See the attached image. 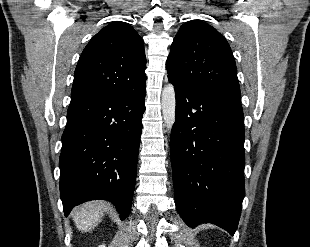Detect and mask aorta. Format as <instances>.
I'll list each match as a JSON object with an SVG mask.
<instances>
[{
    "instance_id": "obj_1",
    "label": "aorta",
    "mask_w": 310,
    "mask_h": 247,
    "mask_svg": "<svg viewBox=\"0 0 310 247\" xmlns=\"http://www.w3.org/2000/svg\"><path fill=\"white\" fill-rule=\"evenodd\" d=\"M175 89L172 84H168L162 91V114L167 130L170 131L175 123Z\"/></svg>"
}]
</instances>
